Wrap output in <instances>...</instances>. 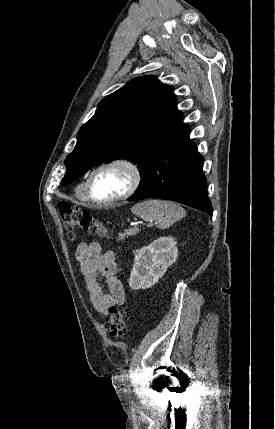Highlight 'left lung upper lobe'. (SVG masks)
<instances>
[{
	"label": "left lung upper lobe",
	"instance_id": "1",
	"mask_svg": "<svg viewBox=\"0 0 275 429\" xmlns=\"http://www.w3.org/2000/svg\"><path fill=\"white\" fill-rule=\"evenodd\" d=\"M171 86L143 76L106 96L94 116L77 134V144L66 157L65 186L93 166L127 159L140 175L153 156L175 135L182 122Z\"/></svg>",
	"mask_w": 275,
	"mask_h": 429
}]
</instances>
